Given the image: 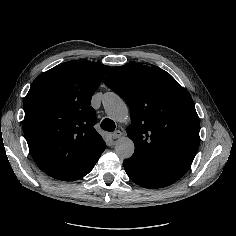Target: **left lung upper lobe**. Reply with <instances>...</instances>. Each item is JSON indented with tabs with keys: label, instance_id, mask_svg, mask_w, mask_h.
Here are the masks:
<instances>
[{
	"label": "left lung upper lobe",
	"instance_id": "5c2ea615",
	"mask_svg": "<svg viewBox=\"0 0 236 236\" xmlns=\"http://www.w3.org/2000/svg\"><path fill=\"white\" fill-rule=\"evenodd\" d=\"M104 83L130 107L128 137L138 157L180 179L200 144L199 118L190 94L157 66L128 64L112 69Z\"/></svg>",
	"mask_w": 236,
	"mask_h": 236
}]
</instances>
